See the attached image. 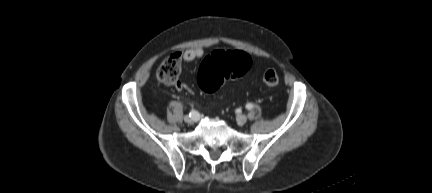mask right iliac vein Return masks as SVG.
Masks as SVG:
<instances>
[{
	"label": "right iliac vein",
	"mask_w": 432,
	"mask_h": 193,
	"mask_svg": "<svg viewBox=\"0 0 432 193\" xmlns=\"http://www.w3.org/2000/svg\"><path fill=\"white\" fill-rule=\"evenodd\" d=\"M198 119H199L198 114L195 115L194 117H190V116H185V117H184V121L187 122V123L197 122Z\"/></svg>",
	"instance_id": "right-iliac-vein-1"
}]
</instances>
